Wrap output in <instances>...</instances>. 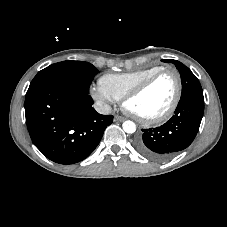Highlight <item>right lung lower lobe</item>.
<instances>
[{
    "label": "right lung lower lobe",
    "instance_id": "right-lung-lower-lobe-1",
    "mask_svg": "<svg viewBox=\"0 0 227 227\" xmlns=\"http://www.w3.org/2000/svg\"><path fill=\"white\" fill-rule=\"evenodd\" d=\"M88 92L61 83L28 90L26 124L35 146L50 160L73 164L88 157L99 144L112 115L92 107Z\"/></svg>",
    "mask_w": 227,
    "mask_h": 227
}]
</instances>
